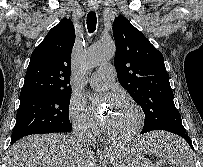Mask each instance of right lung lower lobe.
<instances>
[{
    "label": "right lung lower lobe",
    "instance_id": "98d812e1",
    "mask_svg": "<svg viewBox=\"0 0 203 167\" xmlns=\"http://www.w3.org/2000/svg\"><path fill=\"white\" fill-rule=\"evenodd\" d=\"M51 133H55V132H51ZM15 141H11V144H13Z\"/></svg>",
    "mask_w": 203,
    "mask_h": 167
}]
</instances>
